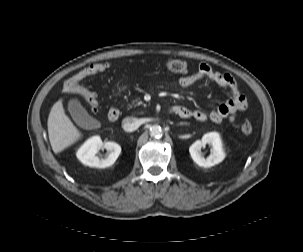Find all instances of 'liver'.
Here are the masks:
<instances>
[{"mask_svg": "<svg viewBox=\"0 0 303 252\" xmlns=\"http://www.w3.org/2000/svg\"><path fill=\"white\" fill-rule=\"evenodd\" d=\"M48 134L55 154L76 143L83 136L65 114L62 100L56 102L51 109L48 117Z\"/></svg>", "mask_w": 303, "mask_h": 252, "instance_id": "liver-1", "label": "liver"}]
</instances>
